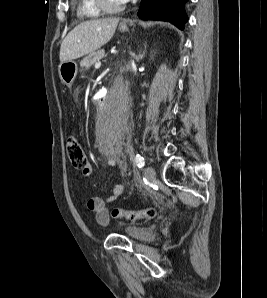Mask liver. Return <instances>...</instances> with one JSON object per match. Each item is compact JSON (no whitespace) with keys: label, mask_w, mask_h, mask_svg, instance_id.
I'll list each match as a JSON object with an SVG mask.
<instances>
[{"label":"liver","mask_w":267,"mask_h":298,"mask_svg":"<svg viewBox=\"0 0 267 298\" xmlns=\"http://www.w3.org/2000/svg\"><path fill=\"white\" fill-rule=\"evenodd\" d=\"M118 22V18H105L77 25L62 41L60 62L72 61L99 49L112 38Z\"/></svg>","instance_id":"1"}]
</instances>
